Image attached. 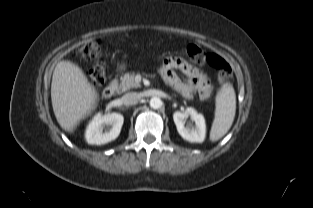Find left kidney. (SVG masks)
<instances>
[{"mask_svg": "<svg viewBox=\"0 0 313 208\" xmlns=\"http://www.w3.org/2000/svg\"><path fill=\"white\" fill-rule=\"evenodd\" d=\"M190 116L195 122V126L187 125L185 122ZM173 120L181 137L189 142L202 143L206 135V125L202 114H199L194 108L188 107L184 112L176 111L173 114Z\"/></svg>", "mask_w": 313, "mask_h": 208, "instance_id": "1", "label": "left kidney"}]
</instances>
